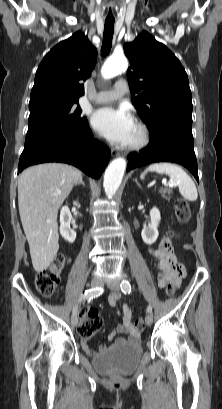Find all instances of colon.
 <instances>
[{
  "label": "colon",
  "mask_w": 222,
  "mask_h": 409,
  "mask_svg": "<svg viewBox=\"0 0 222 409\" xmlns=\"http://www.w3.org/2000/svg\"><path fill=\"white\" fill-rule=\"evenodd\" d=\"M176 220L184 224L188 222L191 216L189 203L185 200H178L174 207ZM66 264V256L63 253L57 254L50 266L40 271L35 278V286L37 291L45 296L51 297L54 295L56 288L60 282V274ZM176 286L169 284L166 289L167 295L171 296L175 293ZM83 320L79 328L80 336L88 340L92 338L101 328L102 320L96 308L87 307L83 310ZM136 327L139 332L144 329V320L142 317L136 321Z\"/></svg>",
  "instance_id": "1"
}]
</instances>
